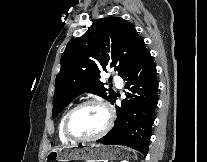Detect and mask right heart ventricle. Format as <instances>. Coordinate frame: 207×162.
<instances>
[{
	"instance_id": "1",
	"label": "right heart ventricle",
	"mask_w": 207,
	"mask_h": 162,
	"mask_svg": "<svg viewBox=\"0 0 207 162\" xmlns=\"http://www.w3.org/2000/svg\"><path fill=\"white\" fill-rule=\"evenodd\" d=\"M67 114H68V113H66V114L62 117V119L60 120V124H59V137H60V140H61L62 142H68V140L64 138V136H63V131H62L63 121H64V119H65V117H66Z\"/></svg>"
}]
</instances>
